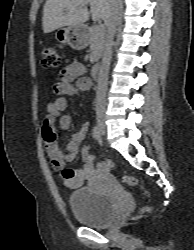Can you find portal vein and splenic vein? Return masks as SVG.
I'll return each mask as SVG.
<instances>
[{
    "label": "portal vein and splenic vein",
    "mask_w": 194,
    "mask_h": 250,
    "mask_svg": "<svg viewBox=\"0 0 194 250\" xmlns=\"http://www.w3.org/2000/svg\"><path fill=\"white\" fill-rule=\"evenodd\" d=\"M96 27H97V29H100V28H102L103 26H102V25H97Z\"/></svg>",
    "instance_id": "18ae733b"
}]
</instances>
